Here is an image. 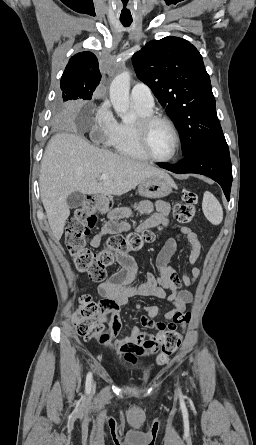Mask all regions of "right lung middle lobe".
<instances>
[{
    "label": "right lung middle lobe",
    "instance_id": "1",
    "mask_svg": "<svg viewBox=\"0 0 256 445\" xmlns=\"http://www.w3.org/2000/svg\"><path fill=\"white\" fill-rule=\"evenodd\" d=\"M62 97H63V101H64V102H65V101H70V100H75L74 98L67 97V96H65V95H62ZM62 109H63V110H62L60 113H58V114L56 115V118H57V119H61V118L65 117V115H66V110H67V103L64 105V107H63Z\"/></svg>",
    "mask_w": 256,
    "mask_h": 445
}]
</instances>
